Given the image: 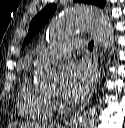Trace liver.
Here are the masks:
<instances>
[{
    "mask_svg": "<svg viewBox=\"0 0 125 128\" xmlns=\"http://www.w3.org/2000/svg\"><path fill=\"white\" fill-rule=\"evenodd\" d=\"M15 128H33V125H29V124H19V125H14Z\"/></svg>",
    "mask_w": 125,
    "mask_h": 128,
    "instance_id": "obj_1",
    "label": "liver"
}]
</instances>
